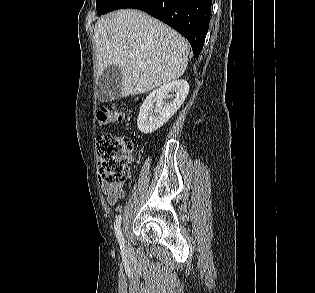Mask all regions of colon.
I'll use <instances>...</instances> for the list:
<instances>
[{
	"label": "colon",
	"instance_id": "1",
	"mask_svg": "<svg viewBox=\"0 0 315 293\" xmlns=\"http://www.w3.org/2000/svg\"><path fill=\"white\" fill-rule=\"evenodd\" d=\"M126 113L113 107H102L96 113L99 125L122 121ZM133 141L124 135L105 134L96 139V155L102 183L122 185L129 177V162Z\"/></svg>",
	"mask_w": 315,
	"mask_h": 293
}]
</instances>
